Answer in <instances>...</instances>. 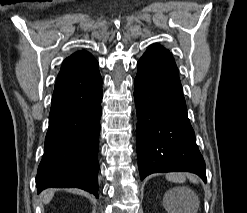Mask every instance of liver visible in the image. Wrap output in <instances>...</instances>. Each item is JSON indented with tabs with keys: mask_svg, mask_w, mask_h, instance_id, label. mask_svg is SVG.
I'll return each instance as SVG.
<instances>
[{
	"mask_svg": "<svg viewBox=\"0 0 247 213\" xmlns=\"http://www.w3.org/2000/svg\"><path fill=\"white\" fill-rule=\"evenodd\" d=\"M54 195L53 190H46L42 193V200L45 204L49 203Z\"/></svg>",
	"mask_w": 247,
	"mask_h": 213,
	"instance_id": "1",
	"label": "liver"
}]
</instances>
